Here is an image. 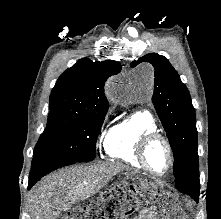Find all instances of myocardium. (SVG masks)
<instances>
[{"instance_id": "obj_1", "label": "myocardium", "mask_w": 221, "mask_h": 219, "mask_svg": "<svg viewBox=\"0 0 221 219\" xmlns=\"http://www.w3.org/2000/svg\"><path fill=\"white\" fill-rule=\"evenodd\" d=\"M156 141L162 142L164 144V146L166 147V150L168 153L169 165H168L167 170L164 173L155 172L149 166V164L147 162V157H146L147 149L149 148V146L151 144H153ZM136 157H137L138 161L140 162V164L142 165V167L146 171H148L151 175L156 176V177H163V176L169 174L171 172V170L173 169L174 152H173L172 145L165 136H163L162 134H160L158 132H148L140 137V139L138 140L137 145H136Z\"/></svg>"}]
</instances>
